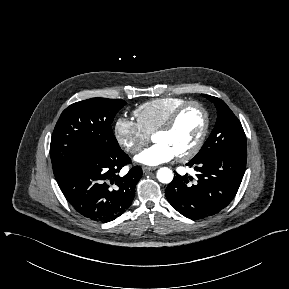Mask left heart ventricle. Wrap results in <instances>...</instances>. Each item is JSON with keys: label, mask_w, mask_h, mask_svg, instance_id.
I'll list each match as a JSON object with an SVG mask.
<instances>
[{"label": "left heart ventricle", "mask_w": 289, "mask_h": 289, "mask_svg": "<svg viewBox=\"0 0 289 289\" xmlns=\"http://www.w3.org/2000/svg\"><path fill=\"white\" fill-rule=\"evenodd\" d=\"M203 114L196 107L183 112L174 128L153 137L154 142L169 146L177 155L188 151L196 142L203 126Z\"/></svg>", "instance_id": "1"}]
</instances>
